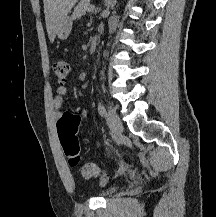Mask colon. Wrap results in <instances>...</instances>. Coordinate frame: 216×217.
Masks as SVG:
<instances>
[{"label":"colon","instance_id":"colon-1","mask_svg":"<svg viewBox=\"0 0 216 217\" xmlns=\"http://www.w3.org/2000/svg\"><path fill=\"white\" fill-rule=\"evenodd\" d=\"M55 77L61 81H66L70 65L65 59L58 58L52 65ZM81 124V118L78 115L64 114L58 121V135L64 151V154L70 165L76 166L80 160L79 143L76 137L77 131ZM80 173L84 178L101 176L100 169L94 164H83L80 167Z\"/></svg>","mask_w":216,"mask_h":217}]
</instances>
